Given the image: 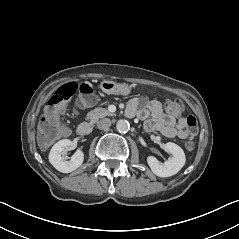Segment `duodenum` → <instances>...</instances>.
Listing matches in <instances>:
<instances>
[{"instance_id": "1", "label": "duodenum", "mask_w": 239, "mask_h": 239, "mask_svg": "<svg viewBox=\"0 0 239 239\" xmlns=\"http://www.w3.org/2000/svg\"><path fill=\"white\" fill-rule=\"evenodd\" d=\"M78 134L80 136H87L88 134L91 133L92 131V124L89 122H82L79 126H78Z\"/></svg>"}]
</instances>
